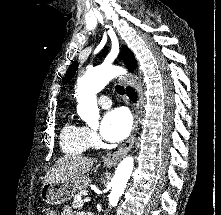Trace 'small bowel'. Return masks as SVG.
<instances>
[{
    "instance_id": "small-bowel-1",
    "label": "small bowel",
    "mask_w": 221,
    "mask_h": 215,
    "mask_svg": "<svg viewBox=\"0 0 221 215\" xmlns=\"http://www.w3.org/2000/svg\"><path fill=\"white\" fill-rule=\"evenodd\" d=\"M61 215H75V214L73 213V210L71 209V207L65 206L62 210ZM77 215H84V214H77Z\"/></svg>"
}]
</instances>
